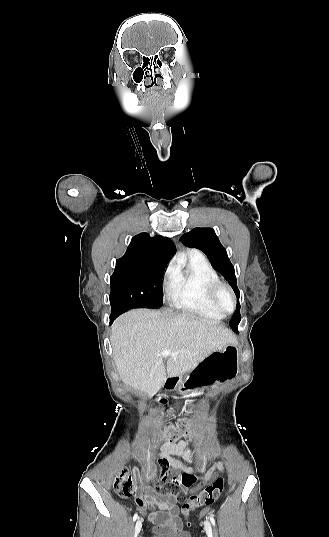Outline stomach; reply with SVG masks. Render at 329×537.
Listing matches in <instances>:
<instances>
[{"label": "stomach", "mask_w": 329, "mask_h": 537, "mask_svg": "<svg viewBox=\"0 0 329 537\" xmlns=\"http://www.w3.org/2000/svg\"><path fill=\"white\" fill-rule=\"evenodd\" d=\"M239 353L238 343L210 353L191 372L170 378L168 390L183 388L191 392L197 387L210 386L233 378L238 371Z\"/></svg>", "instance_id": "obj_1"}]
</instances>
